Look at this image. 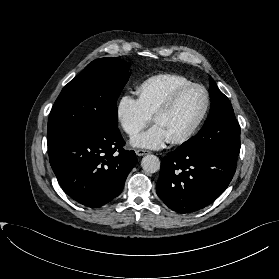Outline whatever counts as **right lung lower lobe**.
Returning <instances> with one entry per match:
<instances>
[{"mask_svg": "<svg viewBox=\"0 0 279 279\" xmlns=\"http://www.w3.org/2000/svg\"><path fill=\"white\" fill-rule=\"evenodd\" d=\"M119 129L75 135L48 146L57 180L76 202L101 207L123 190L127 175L137 163L134 151H125Z\"/></svg>", "mask_w": 279, "mask_h": 279, "instance_id": "1", "label": "right lung lower lobe"}]
</instances>
